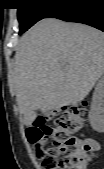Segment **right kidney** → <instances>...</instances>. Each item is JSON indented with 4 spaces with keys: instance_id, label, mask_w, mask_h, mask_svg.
Returning <instances> with one entry per match:
<instances>
[{
    "instance_id": "ca27d5eb",
    "label": "right kidney",
    "mask_w": 104,
    "mask_h": 169,
    "mask_svg": "<svg viewBox=\"0 0 104 169\" xmlns=\"http://www.w3.org/2000/svg\"><path fill=\"white\" fill-rule=\"evenodd\" d=\"M90 124L95 131H104V78H101L94 90L91 110Z\"/></svg>"
}]
</instances>
